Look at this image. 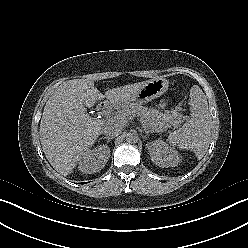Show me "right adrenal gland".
I'll return each instance as SVG.
<instances>
[{
    "mask_svg": "<svg viewBox=\"0 0 248 248\" xmlns=\"http://www.w3.org/2000/svg\"><path fill=\"white\" fill-rule=\"evenodd\" d=\"M104 139H107V143H109L113 138L112 137H103Z\"/></svg>",
    "mask_w": 248,
    "mask_h": 248,
    "instance_id": "2a0ac1e0",
    "label": "right adrenal gland"
}]
</instances>
